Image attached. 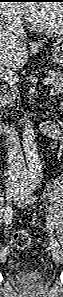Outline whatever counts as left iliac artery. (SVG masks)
I'll use <instances>...</instances> for the list:
<instances>
[{"label": "left iliac artery", "mask_w": 63, "mask_h": 297, "mask_svg": "<svg viewBox=\"0 0 63 297\" xmlns=\"http://www.w3.org/2000/svg\"><path fill=\"white\" fill-rule=\"evenodd\" d=\"M31 189H26L25 191H20L19 194L15 195V201L18 204L19 207L23 206L22 204H30V203H34L37 201V198L35 196L31 195ZM52 218H50L49 216L47 217V230L51 236L53 229H54V224L51 221ZM50 244L52 245V247L54 249H58L59 248V244L54 241L51 237V241Z\"/></svg>", "instance_id": "44dca946"}]
</instances>
